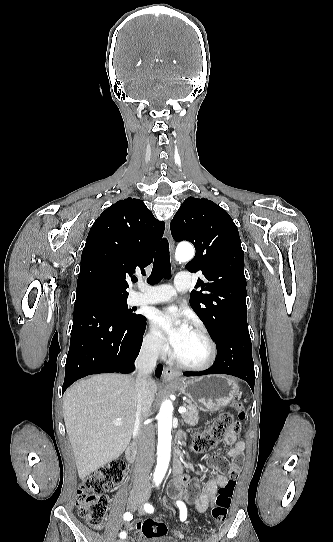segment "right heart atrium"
Returning a JSON list of instances; mask_svg holds the SVG:
<instances>
[{
  "label": "right heart atrium",
  "instance_id": "d8ad5b80",
  "mask_svg": "<svg viewBox=\"0 0 333 542\" xmlns=\"http://www.w3.org/2000/svg\"><path fill=\"white\" fill-rule=\"evenodd\" d=\"M144 350L153 357H161L166 354V344L158 333L155 325L150 322L143 339Z\"/></svg>",
  "mask_w": 333,
  "mask_h": 542
}]
</instances>
